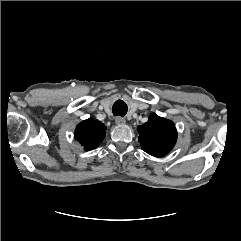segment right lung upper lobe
<instances>
[{
	"instance_id": "right-lung-upper-lobe-1",
	"label": "right lung upper lobe",
	"mask_w": 241,
	"mask_h": 241,
	"mask_svg": "<svg viewBox=\"0 0 241 241\" xmlns=\"http://www.w3.org/2000/svg\"><path fill=\"white\" fill-rule=\"evenodd\" d=\"M105 135L106 127L98 120H84L77 125L75 130L76 139L86 151L95 149Z\"/></svg>"
}]
</instances>
